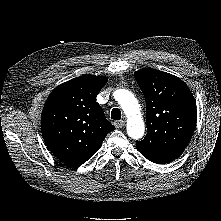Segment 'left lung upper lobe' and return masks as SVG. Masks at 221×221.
I'll use <instances>...</instances> for the list:
<instances>
[{
	"instance_id": "left-lung-upper-lobe-1",
	"label": "left lung upper lobe",
	"mask_w": 221,
	"mask_h": 221,
	"mask_svg": "<svg viewBox=\"0 0 221 221\" xmlns=\"http://www.w3.org/2000/svg\"><path fill=\"white\" fill-rule=\"evenodd\" d=\"M146 101L147 134L136 142L149 161L162 164L176 159L187 147L196 126L193 94L178 77L144 68L134 72Z\"/></svg>"
}]
</instances>
